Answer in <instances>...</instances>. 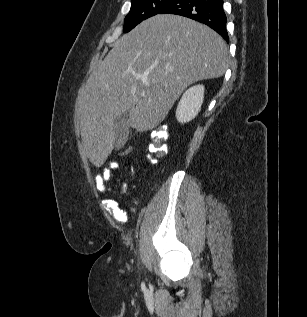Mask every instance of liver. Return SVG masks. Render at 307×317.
Here are the masks:
<instances>
[{
  "label": "liver",
  "instance_id": "obj_1",
  "mask_svg": "<svg viewBox=\"0 0 307 317\" xmlns=\"http://www.w3.org/2000/svg\"><path fill=\"white\" fill-rule=\"evenodd\" d=\"M229 61L218 33L178 15H156L123 35L78 93L90 161L100 167L112 152L121 115L128 113L129 126L138 132L152 130L189 85L221 77Z\"/></svg>",
  "mask_w": 307,
  "mask_h": 317
}]
</instances>
